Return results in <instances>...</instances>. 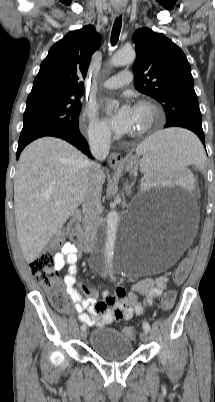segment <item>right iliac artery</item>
Returning <instances> with one entry per match:
<instances>
[{
	"label": "right iliac artery",
	"instance_id": "obj_1",
	"mask_svg": "<svg viewBox=\"0 0 215 402\" xmlns=\"http://www.w3.org/2000/svg\"><path fill=\"white\" fill-rule=\"evenodd\" d=\"M81 330L83 331V330H86V325H82L81 326Z\"/></svg>",
	"mask_w": 215,
	"mask_h": 402
}]
</instances>
